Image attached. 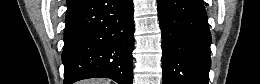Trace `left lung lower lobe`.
I'll list each match as a JSON object with an SVG mask.
<instances>
[{"label":"left lung lower lobe","mask_w":260,"mask_h":84,"mask_svg":"<svg viewBox=\"0 0 260 84\" xmlns=\"http://www.w3.org/2000/svg\"><path fill=\"white\" fill-rule=\"evenodd\" d=\"M163 84H209L211 34L202 0H158Z\"/></svg>","instance_id":"0a47b994"}]
</instances>
